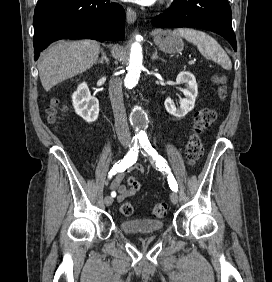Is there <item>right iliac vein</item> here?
Returning a JSON list of instances; mask_svg holds the SVG:
<instances>
[{
    "mask_svg": "<svg viewBox=\"0 0 272 282\" xmlns=\"http://www.w3.org/2000/svg\"><path fill=\"white\" fill-rule=\"evenodd\" d=\"M121 144L125 148L128 147V142H126V141H122ZM104 202H105L106 206H110L113 203V199L110 196H107V197H105Z\"/></svg>",
    "mask_w": 272,
    "mask_h": 282,
    "instance_id": "right-iliac-vein-1",
    "label": "right iliac vein"
}]
</instances>
